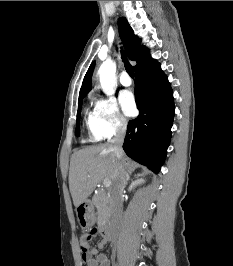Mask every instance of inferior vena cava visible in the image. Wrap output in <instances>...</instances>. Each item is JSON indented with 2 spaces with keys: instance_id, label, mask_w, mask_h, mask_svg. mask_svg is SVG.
Returning a JSON list of instances; mask_svg holds the SVG:
<instances>
[{
  "instance_id": "obj_1",
  "label": "inferior vena cava",
  "mask_w": 233,
  "mask_h": 266,
  "mask_svg": "<svg viewBox=\"0 0 233 266\" xmlns=\"http://www.w3.org/2000/svg\"><path fill=\"white\" fill-rule=\"evenodd\" d=\"M126 122L120 123L116 128V134L110 141V146L118 161V173L111 187V229L116 230L120 224L122 210L121 196L128 178L127 164L124 161L123 141L126 134Z\"/></svg>"
}]
</instances>
